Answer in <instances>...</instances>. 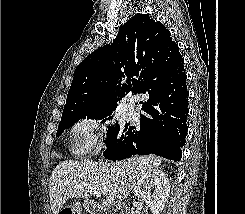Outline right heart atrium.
<instances>
[{
	"mask_svg": "<svg viewBox=\"0 0 245 214\" xmlns=\"http://www.w3.org/2000/svg\"><path fill=\"white\" fill-rule=\"evenodd\" d=\"M71 150L75 155L98 152L107 138L102 119L94 115L79 118L70 129Z\"/></svg>",
	"mask_w": 245,
	"mask_h": 214,
	"instance_id": "d8ad5b80",
	"label": "right heart atrium"
}]
</instances>
